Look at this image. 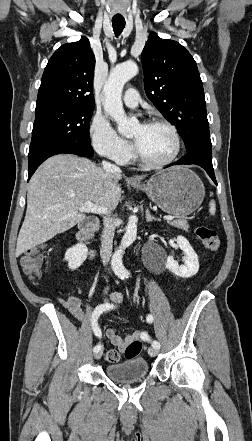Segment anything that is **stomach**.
<instances>
[{
	"mask_svg": "<svg viewBox=\"0 0 252 441\" xmlns=\"http://www.w3.org/2000/svg\"><path fill=\"white\" fill-rule=\"evenodd\" d=\"M131 185L146 192L152 202L177 217L193 213L205 196V188L200 178L182 166L157 172L146 185Z\"/></svg>",
	"mask_w": 252,
	"mask_h": 441,
	"instance_id": "stomach-1",
	"label": "stomach"
}]
</instances>
